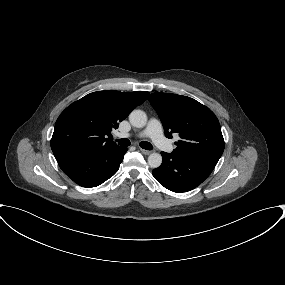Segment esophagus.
<instances>
[{"label": "esophagus", "mask_w": 285, "mask_h": 285, "mask_svg": "<svg viewBox=\"0 0 285 285\" xmlns=\"http://www.w3.org/2000/svg\"><path fill=\"white\" fill-rule=\"evenodd\" d=\"M140 151H141L144 155H149V154L151 153V151L145 150V149H140Z\"/></svg>", "instance_id": "obj_1"}]
</instances>
